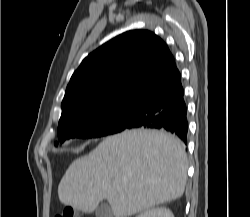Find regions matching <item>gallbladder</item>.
<instances>
[{
    "label": "gallbladder",
    "instance_id": "1",
    "mask_svg": "<svg viewBox=\"0 0 250 217\" xmlns=\"http://www.w3.org/2000/svg\"><path fill=\"white\" fill-rule=\"evenodd\" d=\"M96 217H113V212L108 203L100 204L96 209Z\"/></svg>",
    "mask_w": 250,
    "mask_h": 217
}]
</instances>
